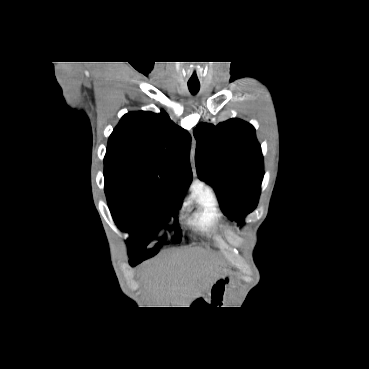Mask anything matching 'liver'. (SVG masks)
Wrapping results in <instances>:
<instances>
[{
	"mask_svg": "<svg viewBox=\"0 0 369 369\" xmlns=\"http://www.w3.org/2000/svg\"><path fill=\"white\" fill-rule=\"evenodd\" d=\"M218 263L210 252L197 247L188 248L154 263L141 279L153 305H176L179 299L212 284L218 277Z\"/></svg>",
	"mask_w": 369,
	"mask_h": 369,
	"instance_id": "1",
	"label": "liver"
}]
</instances>
